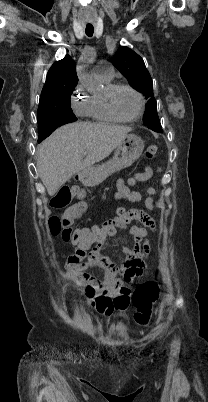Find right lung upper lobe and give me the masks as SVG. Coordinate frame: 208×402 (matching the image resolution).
Instances as JSON below:
<instances>
[{
    "label": "right lung upper lobe",
    "instance_id": "obj_1",
    "mask_svg": "<svg viewBox=\"0 0 208 402\" xmlns=\"http://www.w3.org/2000/svg\"><path fill=\"white\" fill-rule=\"evenodd\" d=\"M78 82L75 61L68 55L56 61L49 69L41 97L51 91L75 87Z\"/></svg>",
    "mask_w": 208,
    "mask_h": 402
}]
</instances>
